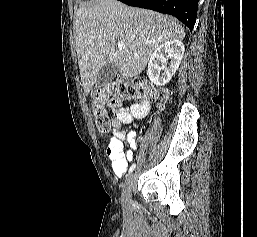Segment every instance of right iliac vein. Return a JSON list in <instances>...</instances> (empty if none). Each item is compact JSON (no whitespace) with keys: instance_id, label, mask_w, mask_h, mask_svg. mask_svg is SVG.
Wrapping results in <instances>:
<instances>
[{"instance_id":"1","label":"right iliac vein","mask_w":257,"mask_h":237,"mask_svg":"<svg viewBox=\"0 0 257 237\" xmlns=\"http://www.w3.org/2000/svg\"><path fill=\"white\" fill-rule=\"evenodd\" d=\"M133 183H134V175L130 174L124 183L123 191H122L121 200L124 207L129 206L131 202Z\"/></svg>"}]
</instances>
